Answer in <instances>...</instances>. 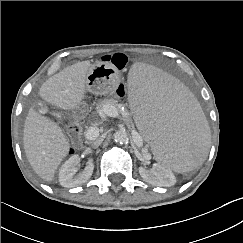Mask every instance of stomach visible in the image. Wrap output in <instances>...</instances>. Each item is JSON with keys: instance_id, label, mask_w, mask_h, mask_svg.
I'll return each instance as SVG.
<instances>
[{"instance_id": "0dacf381", "label": "stomach", "mask_w": 243, "mask_h": 243, "mask_svg": "<svg viewBox=\"0 0 243 243\" xmlns=\"http://www.w3.org/2000/svg\"><path fill=\"white\" fill-rule=\"evenodd\" d=\"M119 73L110 63L92 64L86 75V90L95 95L112 94L119 84Z\"/></svg>"}]
</instances>
